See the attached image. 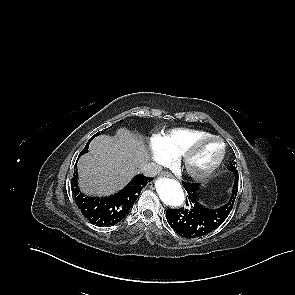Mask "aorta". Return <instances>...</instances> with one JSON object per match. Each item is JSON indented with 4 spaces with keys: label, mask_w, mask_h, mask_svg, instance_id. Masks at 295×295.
Listing matches in <instances>:
<instances>
[{
    "label": "aorta",
    "mask_w": 295,
    "mask_h": 295,
    "mask_svg": "<svg viewBox=\"0 0 295 295\" xmlns=\"http://www.w3.org/2000/svg\"><path fill=\"white\" fill-rule=\"evenodd\" d=\"M155 188L163 203L172 207H179L185 202V194L181 184L170 178H159Z\"/></svg>",
    "instance_id": "aorta-1"
}]
</instances>
